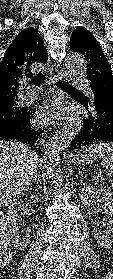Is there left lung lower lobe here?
<instances>
[{"instance_id":"obj_1","label":"left lung lower lobe","mask_w":113,"mask_h":279,"mask_svg":"<svg viewBox=\"0 0 113 279\" xmlns=\"http://www.w3.org/2000/svg\"><path fill=\"white\" fill-rule=\"evenodd\" d=\"M91 100L78 96L87 113L83 117V129L71 143V148L94 142H113V95L91 87Z\"/></svg>"}]
</instances>
